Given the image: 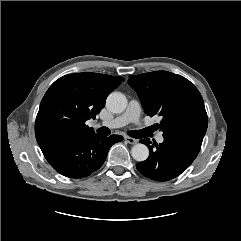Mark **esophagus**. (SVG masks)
<instances>
[{"mask_svg":"<svg viewBox=\"0 0 241 241\" xmlns=\"http://www.w3.org/2000/svg\"><path fill=\"white\" fill-rule=\"evenodd\" d=\"M125 140L129 143V144H136L137 142H138V140L137 139H134V138H131V137H128V136H126L125 137Z\"/></svg>","mask_w":241,"mask_h":241,"instance_id":"obj_1","label":"esophagus"}]
</instances>
